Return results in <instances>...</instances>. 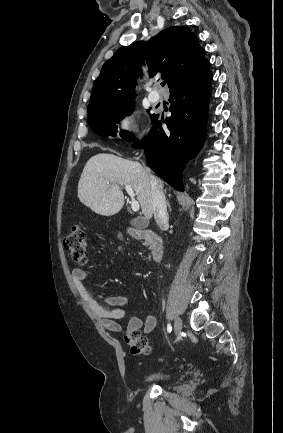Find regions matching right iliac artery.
Returning <instances> with one entry per match:
<instances>
[{
  "label": "right iliac artery",
  "mask_w": 283,
  "mask_h": 433,
  "mask_svg": "<svg viewBox=\"0 0 283 433\" xmlns=\"http://www.w3.org/2000/svg\"><path fill=\"white\" fill-rule=\"evenodd\" d=\"M167 331H168L169 333L172 331V326H171V324H168V325H167Z\"/></svg>",
  "instance_id": "right-iliac-artery-1"
}]
</instances>
